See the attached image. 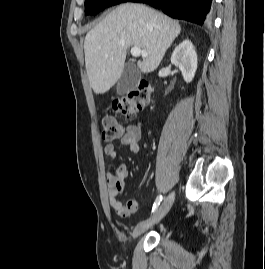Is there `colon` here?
Returning a JSON list of instances; mask_svg holds the SVG:
<instances>
[{"label":"colon","mask_w":265,"mask_h":269,"mask_svg":"<svg viewBox=\"0 0 265 269\" xmlns=\"http://www.w3.org/2000/svg\"><path fill=\"white\" fill-rule=\"evenodd\" d=\"M153 88L147 81H141L139 85L126 95L114 100L112 108L114 112L126 119H133L139 111L150 104ZM102 138L111 142L124 134L123 126L111 115L102 119Z\"/></svg>","instance_id":"colon-1"}]
</instances>
